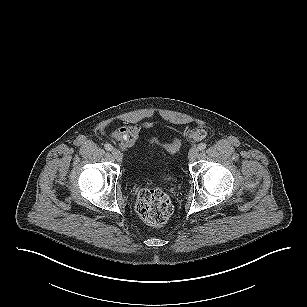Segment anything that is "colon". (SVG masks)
<instances>
[{"label": "colon", "instance_id": "5ec220e1", "mask_svg": "<svg viewBox=\"0 0 307 307\" xmlns=\"http://www.w3.org/2000/svg\"><path fill=\"white\" fill-rule=\"evenodd\" d=\"M204 129H196L191 132V137L196 140L205 138ZM151 141L163 147L170 153H176L181 148V140L174 137L171 141H162L152 138ZM139 215L152 225H162L171 216L173 207L168 195L155 188H143L139 191L136 203Z\"/></svg>", "mask_w": 307, "mask_h": 307}]
</instances>
